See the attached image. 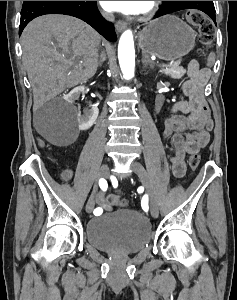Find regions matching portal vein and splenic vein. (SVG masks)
Listing matches in <instances>:
<instances>
[{"mask_svg":"<svg viewBox=\"0 0 237 300\" xmlns=\"http://www.w3.org/2000/svg\"><path fill=\"white\" fill-rule=\"evenodd\" d=\"M172 63H173V64H172V66H170V67H172V68H177V66H178L179 64H182V61L177 60V61H173ZM159 67H160V66H159Z\"/></svg>","mask_w":237,"mask_h":300,"instance_id":"1","label":"portal vein and splenic vein"}]
</instances>
